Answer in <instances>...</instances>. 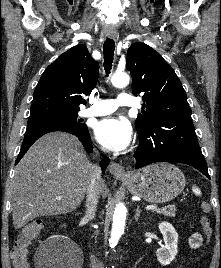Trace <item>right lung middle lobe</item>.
<instances>
[{
    "label": "right lung middle lobe",
    "instance_id": "right-lung-middle-lobe-1",
    "mask_svg": "<svg viewBox=\"0 0 221 268\" xmlns=\"http://www.w3.org/2000/svg\"><path fill=\"white\" fill-rule=\"evenodd\" d=\"M77 117V112H64L40 116H30L28 120V126L38 124H58L75 128L87 127L86 124H83L82 121Z\"/></svg>",
    "mask_w": 221,
    "mask_h": 268
}]
</instances>
